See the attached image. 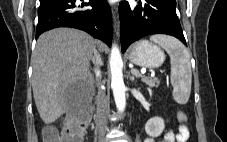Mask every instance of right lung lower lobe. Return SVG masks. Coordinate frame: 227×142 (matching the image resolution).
Wrapping results in <instances>:
<instances>
[{
  "label": "right lung lower lobe",
  "instance_id": "right-lung-lower-lobe-1",
  "mask_svg": "<svg viewBox=\"0 0 227 142\" xmlns=\"http://www.w3.org/2000/svg\"><path fill=\"white\" fill-rule=\"evenodd\" d=\"M91 9H83L84 6ZM36 38L57 27H73L88 32L111 45V10L106 0H89L81 5L77 0H43L38 9Z\"/></svg>",
  "mask_w": 227,
  "mask_h": 142
}]
</instances>
